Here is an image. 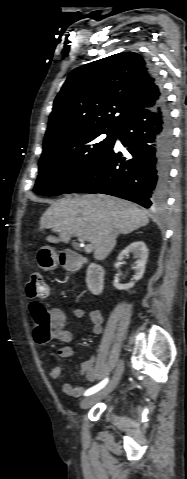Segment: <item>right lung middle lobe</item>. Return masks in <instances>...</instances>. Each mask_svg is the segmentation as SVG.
I'll use <instances>...</instances> for the list:
<instances>
[{"label":"right lung middle lobe","instance_id":"dd1d6c3e","mask_svg":"<svg viewBox=\"0 0 187 479\" xmlns=\"http://www.w3.org/2000/svg\"><path fill=\"white\" fill-rule=\"evenodd\" d=\"M117 129H90L44 146L34 191L65 193L112 148Z\"/></svg>","mask_w":187,"mask_h":479}]
</instances>
